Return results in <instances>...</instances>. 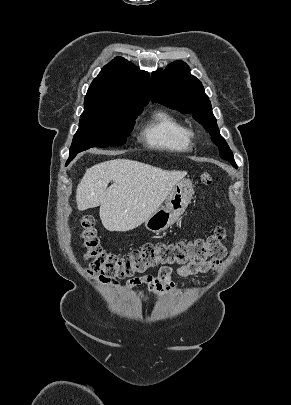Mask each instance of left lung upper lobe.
Segmentation results:
<instances>
[{
	"label": "left lung upper lobe",
	"instance_id": "obj_1",
	"mask_svg": "<svg viewBox=\"0 0 291 405\" xmlns=\"http://www.w3.org/2000/svg\"><path fill=\"white\" fill-rule=\"evenodd\" d=\"M151 100L159 102L182 113L192 114L210 133L218 146L222 159L236 167L233 154L220 135L211 103L201 82L190 74L189 67L182 61L169 64L165 70L159 69L151 75Z\"/></svg>",
	"mask_w": 291,
	"mask_h": 405
}]
</instances>
